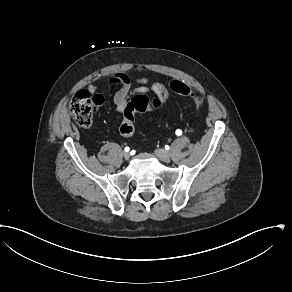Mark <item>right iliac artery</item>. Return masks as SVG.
<instances>
[{"label":"right iliac artery","instance_id":"1","mask_svg":"<svg viewBox=\"0 0 292 292\" xmlns=\"http://www.w3.org/2000/svg\"><path fill=\"white\" fill-rule=\"evenodd\" d=\"M125 152H128L130 149H129V147H125Z\"/></svg>","mask_w":292,"mask_h":292}]
</instances>
